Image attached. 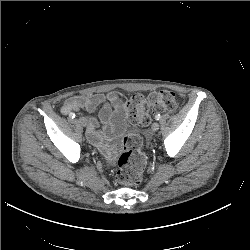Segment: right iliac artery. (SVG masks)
<instances>
[{
	"instance_id": "82829eb1",
	"label": "right iliac artery",
	"mask_w": 250,
	"mask_h": 250,
	"mask_svg": "<svg viewBox=\"0 0 250 250\" xmlns=\"http://www.w3.org/2000/svg\"><path fill=\"white\" fill-rule=\"evenodd\" d=\"M69 117L72 118V119L75 118V113H70Z\"/></svg>"
}]
</instances>
